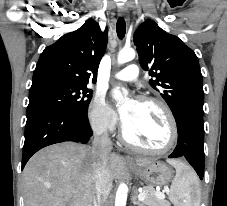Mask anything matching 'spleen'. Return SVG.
Instances as JSON below:
<instances>
[{
    "label": "spleen",
    "instance_id": "1",
    "mask_svg": "<svg viewBox=\"0 0 227 206\" xmlns=\"http://www.w3.org/2000/svg\"><path fill=\"white\" fill-rule=\"evenodd\" d=\"M176 169V176L171 185V198L175 201V206H200V189L198 179L194 172L176 160H168Z\"/></svg>",
    "mask_w": 227,
    "mask_h": 206
}]
</instances>
